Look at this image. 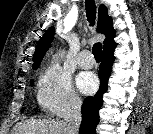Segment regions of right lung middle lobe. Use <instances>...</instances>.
Wrapping results in <instances>:
<instances>
[{
	"label": "right lung middle lobe",
	"instance_id": "right-lung-middle-lobe-1",
	"mask_svg": "<svg viewBox=\"0 0 153 134\" xmlns=\"http://www.w3.org/2000/svg\"><path fill=\"white\" fill-rule=\"evenodd\" d=\"M31 84H33V81L31 82ZM24 111V108L22 109V111L21 112H23Z\"/></svg>",
	"mask_w": 153,
	"mask_h": 134
}]
</instances>
